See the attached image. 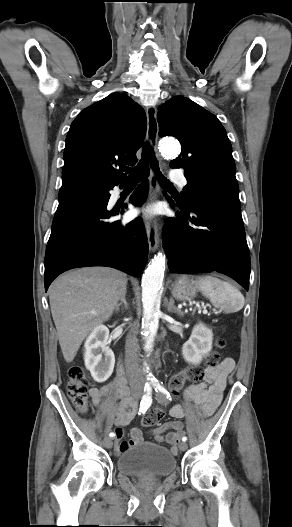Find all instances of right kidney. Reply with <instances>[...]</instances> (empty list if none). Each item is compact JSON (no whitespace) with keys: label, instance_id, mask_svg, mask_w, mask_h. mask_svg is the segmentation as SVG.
I'll list each match as a JSON object with an SVG mask.
<instances>
[{"label":"right kidney","instance_id":"obj_1","mask_svg":"<svg viewBox=\"0 0 292 527\" xmlns=\"http://www.w3.org/2000/svg\"><path fill=\"white\" fill-rule=\"evenodd\" d=\"M109 329L99 325L93 329L85 342L84 361L96 382H105L112 374L115 364L113 351L107 346Z\"/></svg>","mask_w":292,"mask_h":527}]
</instances>
